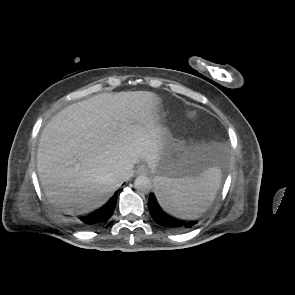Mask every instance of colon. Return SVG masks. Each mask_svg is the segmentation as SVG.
I'll use <instances>...</instances> for the list:
<instances>
[{
	"label": "colon",
	"mask_w": 295,
	"mask_h": 295,
	"mask_svg": "<svg viewBox=\"0 0 295 295\" xmlns=\"http://www.w3.org/2000/svg\"><path fill=\"white\" fill-rule=\"evenodd\" d=\"M188 116H189L190 118H195V117H196V112H195V110L190 109V110L188 111Z\"/></svg>",
	"instance_id": "obj_1"
}]
</instances>
